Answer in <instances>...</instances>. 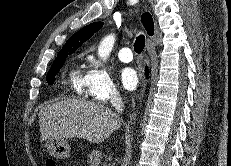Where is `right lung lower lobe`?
<instances>
[{
    "instance_id": "1",
    "label": "right lung lower lobe",
    "mask_w": 231,
    "mask_h": 166,
    "mask_svg": "<svg viewBox=\"0 0 231 166\" xmlns=\"http://www.w3.org/2000/svg\"><path fill=\"white\" fill-rule=\"evenodd\" d=\"M145 74H146V76L148 75V69H147V67L145 69Z\"/></svg>"
}]
</instances>
